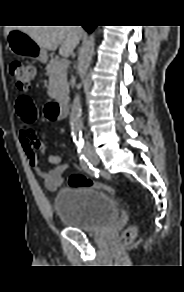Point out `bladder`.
Wrapping results in <instances>:
<instances>
[{
	"instance_id": "31cf9c89",
	"label": "bladder",
	"mask_w": 184,
	"mask_h": 292,
	"mask_svg": "<svg viewBox=\"0 0 184 292\" xmlns=\"http://www.w3.org/2000/svg\"><path fill=\"white\" fill-rule=\"evenodd\" d=\"M53 209L65 227L95 233L112 225L118 217V205L109 195L93 187L62 189Z\"/></svg>"
}]
</instances>
